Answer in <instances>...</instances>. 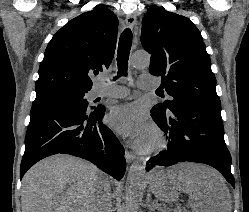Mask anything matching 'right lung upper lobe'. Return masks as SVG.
<instances>
[{"label":"right lung upper lobe","mask_w":249,"mask_h":212,"mask_svg":"<svg viewBox=\"0 0 249 212\" xmlns=\"http://www.w3.org/2000/svg\"><path fill=\"white\" fill-rule=\"evenodd\" d=\"M118 19L106 7L69 21L55 33L40 64L38 95L55 91H88V74L105 71L114 57Z\"/></svg>","instance_id":"right-lung-upper-lobe-1"}]
</instances>
